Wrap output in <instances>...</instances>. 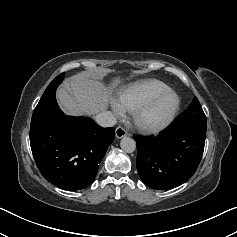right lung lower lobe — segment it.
<instances>
[{"mask_svg": "<svg viewBox=\"0 0 237 237\" xmlns=\"http://www.w3.org/2000/svg\"><path fill=\"white\" fill-rule=\"evenodd\" d=\"M63 78L64 73L49 84L33 112L30 145L41 174L50 183L73 191L93 181L115 132L89 118L62 113L55 92Z\"/></svg>", "mask_w": 237, "mask_h": 237, "instance_id": "obj_1", "label": "right lung lower lobe"}]
</instances>
